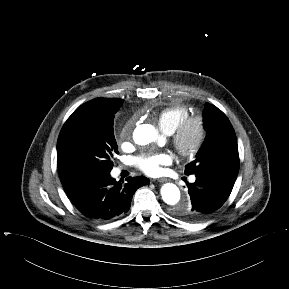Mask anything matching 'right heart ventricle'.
<instances>
[{"label": "right heart ventricle", "mask_w": 289, "mask_h": 289, "mask_svg": "<svg viewBox=\"0 0 289 289\" xmlns=\"http://www.w3.org/2000/svg\"><path fill=\"white\" fill-rule=\"evenodd\" d=\"M190 116L189 109L184 105H173L163 108L157 117L158 125L165 133L171 134L178 125Z\"/></svg>", "instance_id": "obj_1"}]
</instances>
